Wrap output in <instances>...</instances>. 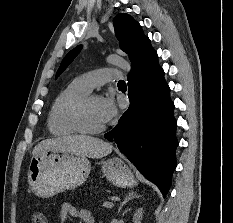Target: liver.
Wrapping results in <instances>:
<instances>
[{"instance_id":"6515ba94","label":"liver","mask_w":233,"mask_h":223,"mask_svg":"<svg viewBox=\"0 0 233 223\" xmlns=\"http://www.w3.org/2000/svg\"><path fill=\"white\" fill-rule=\"evenodd\" d=\"M64 149L72 151L77 155H86L93 159H101L104 155L111 153L113 145L108 141H103L99 137L92 135H64V137H52V139H43L36 147L33 153H39L41 149Z\"/></svg>"}]
</instances>
